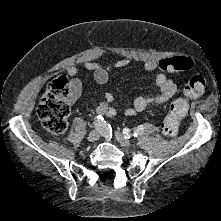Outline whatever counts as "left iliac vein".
Here are the masks:
<instances>
[{"instance_id": "1", "label": "left iliac vein", "mask_w": 221, "mask_h": 221, "mask_svg": "<svg viewBox=\"0 0 221 221\" xmlns=\"http://www.w3.org/2000/svg\"><path fill=\"white\" fill-rule=\"evenodd\" d=\"M115 138L124 147H130L132 145L131 141L126 139L124 135L119 131H115Z\"/></svg>"}]
</instances>
